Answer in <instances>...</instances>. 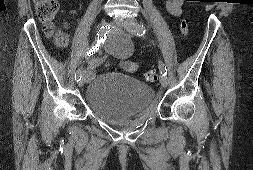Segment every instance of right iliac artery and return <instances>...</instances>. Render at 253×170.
<instances>
[{"instance_id":"obj_1","label":"right iliac artery","mask_w":253,"mask_h":170,"mask_svg":"<svg viewBox=\"0 0 253 170\" xmlns=\"http://www.w3.org/2000/svg\"><path fill=\"white\" fill-rule=\"evenodd\" d=\"M109 26H103L102 28H100V30L97 33V42L94 46H92V48H90L86 53L85 56L86 58L90 57L91 55L95 54V52H97L99 50V46L101 43H103V35L105 36V34L108 32ZM82 77V71L81 69H78L75 73V80L80 81Z\"/></svg>"}]
</instances>
